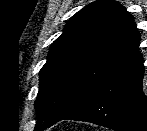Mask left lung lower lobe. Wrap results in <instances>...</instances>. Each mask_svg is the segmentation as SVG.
Instances as JSON below:
<instances>
[{"mask_svg": "<svg viewBox=\"0 0 147 131\" xmlns=\"http://www.w3.org/2000/svg\"><path fill=\"white\" fill-rule=\"evenodd\" d=\"M143 76V58L137 51L110 73L85 103L64 120L90 122L116 131H147Z\"/></svg>", "mask_w": 147, "mask_h": 131, "instance_id": "left-lung-lower-lobe-1", "label": "left lung lower lobe"}]
</instances>
